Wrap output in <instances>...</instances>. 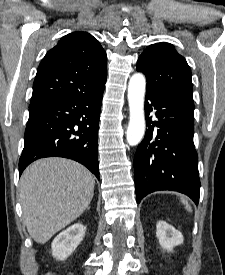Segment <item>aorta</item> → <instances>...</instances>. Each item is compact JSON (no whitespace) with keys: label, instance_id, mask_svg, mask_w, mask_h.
Returning a JSON list of instances; mask_svg holds the SVG:
<instances>
[{"label":"aorta","instance_id":"1","mask_svg":"<svg viewBox=\"0 0 225 275\" xmlns=\"http://www.w3.org/2000/svg\"><path fill=\"white\" fill-rule=\"evenodd\" d=\"M146 79L141 73L134 74L128 84L130 120L126 139L130 146L139 144L145 133L144 96Z\"/></svg>","mask_w":225,"mask_h":275}]
</instances>
